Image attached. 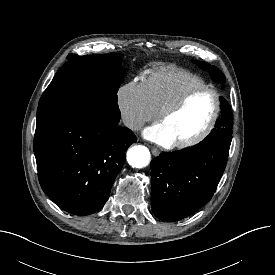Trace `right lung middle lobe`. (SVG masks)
Returning a JSON list of instances; mask_svg holds the SVG:
<instances>
[{"instance_id": "obj_1", "label": "right lung middle lobe", "mask_w": 275, "mask_h": 275, "mask_svg": "<svg viewBox=\"0 0 275 275\" xmlns=\"http://www.w3.org/2000/svg\"><path fill=\"white\" fill-rule=\"evenodd\" d=\"M42 94L36 129L63 116L91 112L120 120L117 91L126 70L117 56L69 55Z\"/></svg>"}]
</instances>
